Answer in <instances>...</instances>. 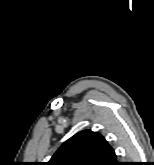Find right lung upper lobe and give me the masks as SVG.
<instances>
[{
    "label": "right lung upper lobe",
    "instance_id": "cb5924a9",
    "mask_svg": "<svg viewBox=\"0 0 154 165\" xmlns=\"http://www.w3.org/2000/svg\"><path fill=\"white\" fill-rule=\"evenodd\" d=\"M116 155L105 138L84 130L68 139L52 156L48 165H114Z\"/></svg>",
    "mask_w": 154,
    "mask_h": 165
}]
</instances>
